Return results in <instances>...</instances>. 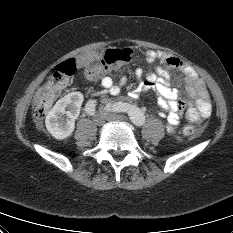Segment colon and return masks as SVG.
I'll list each match as a JSON object with an SVG mask.
<instances>
[{
	"label": "colon",
	"instance_id": "1",
	"mask_svg": "<svg viewBox=\"0 0 233 233\" xmlns=\"http://www.w3.org/2000/svg\"><path fill=\"white\" fill-rule=\"evenodd\" d=\"M132 50L110 49L106 52L100 63H95L86 69V77L90 80H98L114 68L128 63L132 59ZM75 60L68 59L60 63L53 74L47 79L44 85L37 91L34 99V115L42 119L51 108L58 92L66 85L70 77L76 72ZM203 128L198 125L189 124L183 129L186 137H195L201 134Z\"/></svg>",
	"mask_w": 233,
	"mask_h": 233
}]
</instances>
